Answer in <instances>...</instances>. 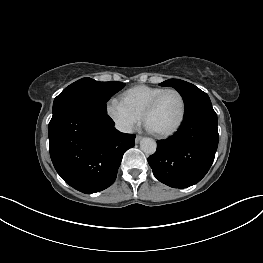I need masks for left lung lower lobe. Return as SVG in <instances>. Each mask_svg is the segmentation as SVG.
Returning a JSON list of instances; mask_svg holds the SVG:
<instances>
[{"label":"left lung lower lobe","mask_w":263,"mask_h":263,"mask_svg":"<svg viewBox=\"0 0 263 263\" xmlns=\"http://www.w3.org/2000/svg\"><path fill=\"white\" fill-rule=\"evenodd\" d=\"M218 146L217 114L207 107L184 116L178 131L158 141L148 158L154 176L174 188L198 183L211 167Z\"/></svg>","instance_id":"left-lung-lower-lobe-1"}]
</instances>
